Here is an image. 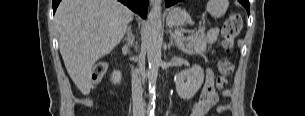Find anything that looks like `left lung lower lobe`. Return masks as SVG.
I'll return each instance as SVG.
<instances>
[{"label": "left lung lower lobe", "mask_w": 305, "mask_h": 116, "mask_svg": "<svg viewBox=\"0 0 305 116\" xmlns=\"http://www.w3.org/2000/svg\"><path fill=\"white\" fill-rule=\"evenodd\" d=\"M181 0H165L166 6L169 7L177 2H180ZM239 2L246 8V10L249 13V0H239Z\"/></svg>", "instance_id": "0a47b994"}]
</instances>
